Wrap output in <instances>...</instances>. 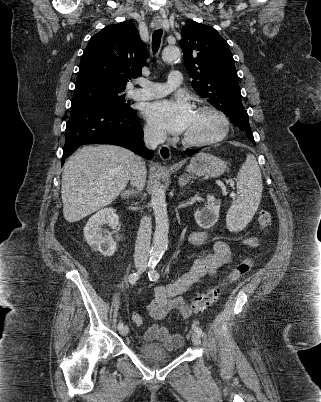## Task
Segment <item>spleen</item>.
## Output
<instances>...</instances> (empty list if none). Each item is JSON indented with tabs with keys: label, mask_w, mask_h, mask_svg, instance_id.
I'll list each match as a JSON object with an SVG mask.
<instances>
[{
	"label": "spleen",
	"mask_w": 321,
	"mask_h": 402,
	"mask_svg": "<svg viewBox=\"0 0 321 402\" xmlns=\"http://www.w3.org/2000/svg\"><path fill=\"white\" fill-rule=\"evenodd\" d=\"M236 180L238 196L226 215V225L231 232L241 231L247 226L261 201V171L254 155H247Z\"/></svg>",
	"instance_id": "obj_1"
}]
</instances>
